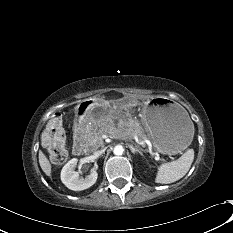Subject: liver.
<instances>
[{"instance_id": "obj_1", "label": "liver", "mask_w": 233, "mask_h": 233, "mask_svg": "<svg viewBox=\"0 0 233 233\" xmlns=\"http://www.w3.org/2000/svg\"><path fill=\"white\" fill-rule=\"evenodd\" d=\"M39 164L43 172L47 176H50L51 175V164L48 158L46 157V155L42 151L39 152Z\"/></svg>"}]
</instances>
